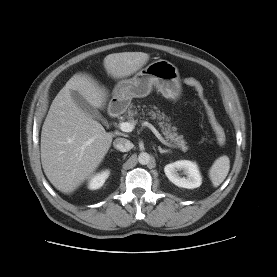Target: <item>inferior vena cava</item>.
I'll return each instance as SVG.
<instances>
[{
  "label": "inferior vena cava",
  "mask_w": 277,
  "mask_h": 277,
  "mask_svg": "<svg viewBox=\"0 0 277 277\" xmlns=\"http://www.w3.org/2000/svg\"><path fill=\"white\" fill-rule=\"evenodd\" d=\"M113 146L121 152H127L133 148V143L125 138H116L113 142Z\"/></svg>",
  "instance_id": "602c4592"
}]
</instances>
